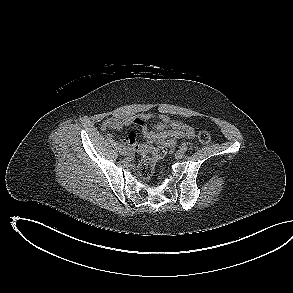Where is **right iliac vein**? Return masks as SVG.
Instances as JSON below:
<instances>
[{
    "instance_id": "1",
    "label": "right iliac vein",
    "mask_w": 293,
    "mask_h": 293,
    "mask_svg": "<svg viewBox=\"0 0 293 293\" xmlns=\"http://www.w3.org/2000/svg\"><path fill=\"white\" fill-rule=\"evenodd\" d=\"M118 151L122 155H127L128 154V150L125 147H119Z\"/></svg>"
}]
</instances>
